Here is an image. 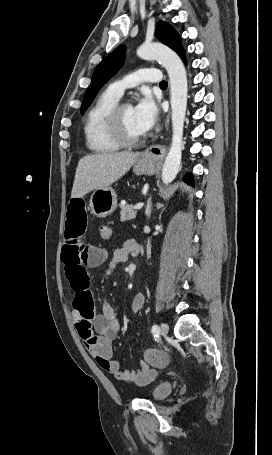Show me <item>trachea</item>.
I'll list each match as a JSON object with an SVG mask.
<instances>
[{
	"instance_id": "1",
	"label": "trachea",
	"mask_w": 272,
	"mask_h": 455,
	"mask_svg": "<svg viewBox=\"0 0 272 455\" xmlns=\"http://www.w3.org/2000/svg\"><path fill=\"white\" fill-rule=\"evenodd\" d=\"M167 85H168V84H167L166 81H162V82H160V84H159L160 87H167Z\"/></svg>"
}]
</instances>
